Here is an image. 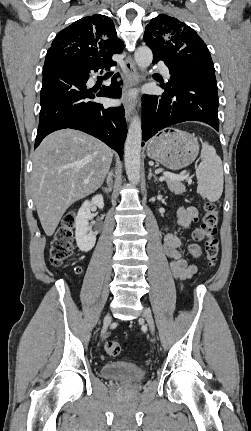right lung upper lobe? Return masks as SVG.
Masks as SVG:
<instances>
[{
	"mask_svg": "<svg viewBox=\"0 0 251 431\" xmlns=\"http://www.w3.org/2000/svg\"><path fill=\"white\" fill-rule=\"evenodd\" d=\"M113 21L105 15L84 17L60 31L48 49L44 66L70 58L80 64L109 69L113 54L122 52Z\"/></svg>",
	"mask_w": 251,
	"mask_h": 431,
	"instance_id": "1",
	"label": "right lung upper lobe"
}]
</instances>
